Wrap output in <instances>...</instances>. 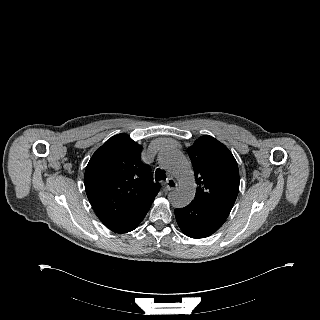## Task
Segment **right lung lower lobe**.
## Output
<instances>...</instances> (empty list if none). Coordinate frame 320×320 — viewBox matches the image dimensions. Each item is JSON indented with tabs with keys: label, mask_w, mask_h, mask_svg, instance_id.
I'll list each match as a JSON object with an SVG mask.
<instances>
[{
	"label": "right lung lower lobe",
	"mask_w": 320,
	"mask_h": 320,
	"mask_svg": "<svg viewBox=\"0 0 320 320\" xmlns=\"http://www.w3.org/2000/svg\"><path fill=\"white\" fill-rule=\"evenodd\" d=\"M149 210V209H148ZM148 210H142L132 215L114 219L107 220L103 224L110 230L116 233H126L134 230L139 223L143 220Z\"/></svg>",
	"instance_id": "98d812e1"
}]
</instances>
